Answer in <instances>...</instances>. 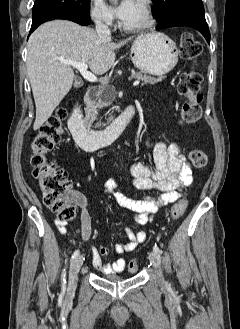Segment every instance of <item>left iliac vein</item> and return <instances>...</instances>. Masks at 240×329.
<instances>
[{
	"mask_svg": "<svg viewBox=\"0 0 240 329\" xmlns=\"http://www.w3.org/2000/svg\"><path fill=\"white\" fill-rule=\"evenodd\" d=\"M149 261L151 262V264L158 270L161 269V260L159 257V254L155 251H152L149 253ZM164 282V281H163Z\"/></svg>",
	"mask_w": 240,
	"mask_h": 329,
	"instance_id": "1",
	"label": "left iliac vein"
}]
</instances>
